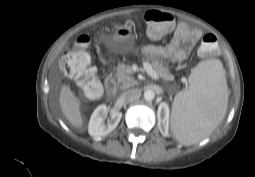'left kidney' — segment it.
I'll use <instances>...</instances> for the list:
<instances>
[{
    "instance_id": "left-kidney-1",
    "label": "left kidney",
    "mask_w": 255,
    "mask_h": 177,
    "mask_svg": "<svg viewBox=\"0 0 255 177\" xmlns=\"http://www.w3.org/2000/svg\"><path fill=\"white\" fill-rule=\"evenodd\" d=\"M158 123L166 134L168 131L169 122V107L166 103H161L158 107ZM160 128V129H161Z\"/></svg>"
}]
</instances>
